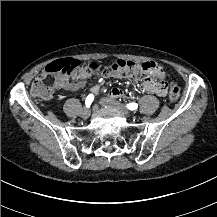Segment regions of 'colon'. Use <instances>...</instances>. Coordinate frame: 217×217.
<instances>
[{"label":"colon","mask_w":217,"mask_h":217,"mask_svg":"<svg viewBox=\"0 0 217 217\" xmlns=\"http://www.w3.org/2000/svg\"><path fill=\"white\" fill-rule=\"evenodd\" d=\"M83 63H79L75 58H64L57 62L52 63L44 71H41L37 75V79L32 84V92L35 98L39 100H46L53 96L54 86L59 85L68 78V73H75L82 69ZM105 68H109L112 71L123 70L127 75L139 74L146 77L147 81L160 83L158 80H162L166 77L163 67L156 62H143L138 63L130 60H115L108 63ZM180 96V89L177 83H173L170 88V100L177 101Z\"/></svg>","instance_id":"colon-1"}]
</instances>
